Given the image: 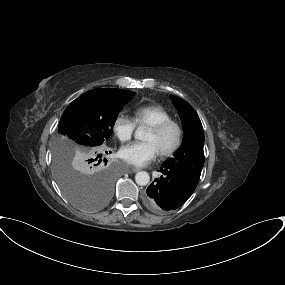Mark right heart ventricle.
Listing matches in <instances>:
<instances>
[{
	"label": "right heart ventricle",
	"instance_id": "1",
	"mask_svg": "<svg viewBox=\"0 0 285 285\" xmlns=\"http://www.w3.org/2000/svg\"><path fill=\"white\" fill-rule=\"evenodd\" d=\"M134 121L140 125L152 126L171 119V115L159 105H145L134 110Z\"/></svg>",
	"mask_w": 285,
	"mask_h": 285
}]
</instances>
